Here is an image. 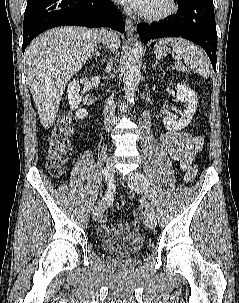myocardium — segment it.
Returning a JSON list of instances; mask_svg holds the SVG:
<instances>
[{
	"label": "myocardium",
	"mask_w": 239,
	"mask_h": 303,
	"mask_svg": "<svg viewBox=\"0 0 239 303\" xmlns=\"http://www.w3.org/2000/svg\"><path fill=\"white\" fill-rule=\"evenodd\" d=\"M178 11L176 0H164V7L156 11H140L138 15L146 20L159 21L169 18Z\"/></svg>",
	"instance_id": "obj_1"
}]
</instances>
